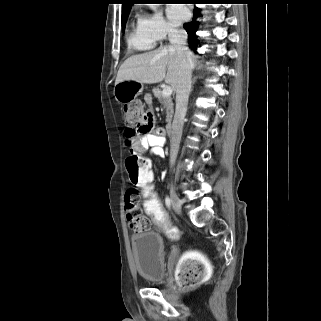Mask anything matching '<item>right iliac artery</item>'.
<instances>
[{
	"instance_id": "obj_1",
	"label": "right iliac artery",
	"mask_w": 321,
	"mask_h": 321,
	"mask_svg": "<svg viewBox=\"0 0 321 321\" xmlns=\"http://www.w3.org/2000/svg\"><path fill=\"white\" fill-rule=\"evenodd\" d=\"M165 203H166V206H167L168 208L171 207V200H170V198H169L168 196L165 198Z\"/></svg>"
}]
</instances>
